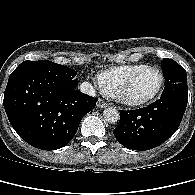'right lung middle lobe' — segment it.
Here are the masks:
<instances>
[{
	"label": "right lung middle lobe",
	"instance_id": "1",
	"mask_svg": "<svg viewBox=\"0 0 195 195\" xmlns=\"http://www.w3.org/2000/svg\"><path fill=\"white\" fill-rule=\"evenodd\" d=\"M14 71H29L44 74L58 81L62 89H68L78 82L77 72L69 67L46 60L24 61Z\"/></svg>",
	"mask_w": 195,
	"mask_h": 195
}]
</instances>
